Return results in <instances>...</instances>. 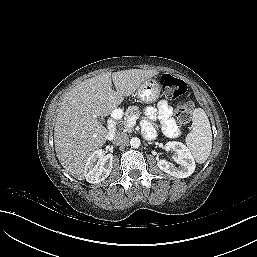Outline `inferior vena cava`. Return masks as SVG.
Segmentation results:
<instances>
[{
    "label": "inferior vena cava",
    "mask_w": 257,
    "mask_h": 257,
    "mask_svg": "<svg viewBox=\"0 0 257 257\" xmlns=\"http://www.w3.org/2000/svg\"><path fill=\"white\" fill-rule=\"evenodd\" d=\"M129 140V137L125 133H119L117 134L113 139V144L119 146V145H125Z\"/></svg>",
    "instance_id": "1"
}]
</instances>
